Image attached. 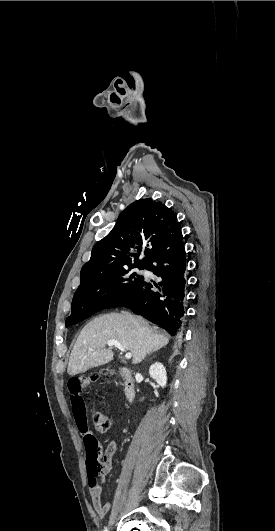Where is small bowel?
I'll list each match as a JSON object with an SVG mask.
<instances>
[{
	"label": "small bowel",
	"mask_w": 275,
	"mask_h": 531,
	"mask_svg": "<svg viewBox=\"0 0 275 531\" xmlns=\"http://www.w3.org/2000/svg\"><path fill=\"white\" fill-rule=\"evenodd\" d=\"M84 377H79L78 375H71L69 377V383L67 384V389L70 391L69 403L72 409V413L75 417H84L86 415V400L85 392L82 389L85 383ZM78 429L82 436V441L85 449L89 448L91 445L97 443L94 435L89 431L86 424H81L77 422ZM105 481V473L99 475L94 480L89 479V495L91 502L98 514L99 517L103 518L111 508L110 501H104L102 498V489L101 484Z\"/></svg>",
	"instance_id": "obj_1"
}]
</instances>
